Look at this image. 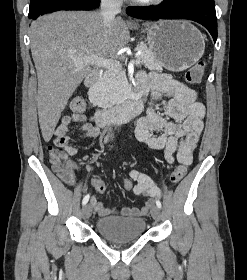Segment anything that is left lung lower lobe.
<instances>
[{
    "label": "left lung lower lobe",
    "mask_w": 247,
    "mask_h": 280,
    "mask_svg": "<svg viewBox=\"0 0 247 280\" xmlns=\"http://www.w3.org/2000/svg\"><path fill=\"white\" fill-rule=\"evenodd\" d=\"M127 14L139 19H188L203 25L217 39V18L214 0H178L147 9L130 8Z\"/></svg>",
    "instance_id": "1"
}]
</instances>
